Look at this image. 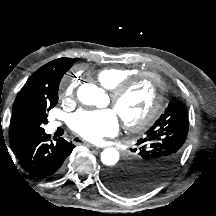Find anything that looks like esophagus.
Returning a JSON list of instances; mask_svg holds the SVG:
<instances>
[{
    "label": "esophagus",
    "instance_id": "34e87169",
    "mask_svg": "<svg viewBox=\"0 0 216 216\" xmlns=\"http://www.w3.org/2000/svg\"><path fill=\"white\" fill-rule=\"evenodd\" d=\"M72 141H73V143H75V144L81 143V144H83V145H85V146H87V147H90V148H98L97 146H95V145H93V144H91V143L85 141L84 139H82V138H80V137H78V136L73 137V138H72Z\"/></svg>",
    "mask_w": 216,
    "mask_h": 216
}]
</instances>
